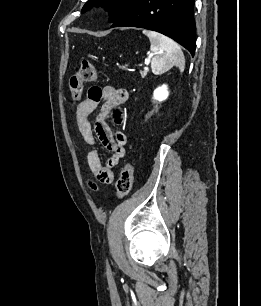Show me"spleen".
Returning <instances> with one entry per match:
<instances>
[{
  "instance_id": "spleen-1",
  "label": "spleen",
  "mask_w": 261,
  "mask_h": 306,
  "mask_svg": "<svg viewBox=\"0 0 261 306\" xmlns=\"http://www.w3.org/2000/svg\"><path fill=\"white\" fill-rule=\"evenodd\" d=\"M143 33L149 38L150 50L154 57L151 60V69L155 75L165 73L173 66L184 71L185 58L180 46L169 37L150 30H144Z\"/></svg>"
}]
</instances>
